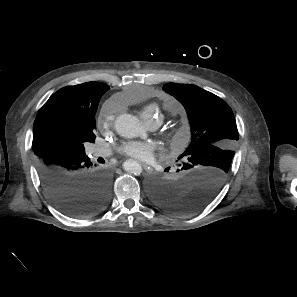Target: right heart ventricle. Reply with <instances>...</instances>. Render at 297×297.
I'll return each instance as SVG.
<instances>
[{
  "mask_svg": "<svg viewBox=\"0 0 297 297\" xmlns=\"http://www.w3.org/2000/svg\"><path fill=\"white\" fill-rule=\"evenodd\" d=\"M161 105L167 110H172V105L168 100H163L161 102ZM156 108L157 105H149L143 108V110L141 111L142 118L148 123L158 121L159 117L154 118Z\"/></svg>",
  "mask_w": 297,
  "mask_h": 297,
  "instance_id": "right-heart-ventricle-1",
  "label": "right heart ventricle"
}]
</instances>
